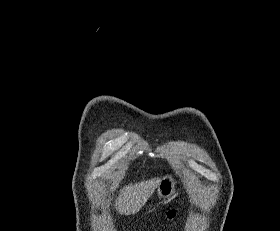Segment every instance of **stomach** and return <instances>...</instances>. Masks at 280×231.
I'll list each match as a JSON object with an SVG mask.
<instances>
[{"instance_id":"0dacf381","label":"stomach","mask_w":280,"mask_h":231,"mask_svg":"<svg viewBox=\"0 0 280 231\" xmlns=\"http://www.w3.org/2000/svg\"><path fill=\"white\" fill-rule=\"evenodd\" d=\"M175 179L173 175H164L162 179H160L157 187V193L160 197H174L175 195Z\"/></svg>"}]
</instances>
